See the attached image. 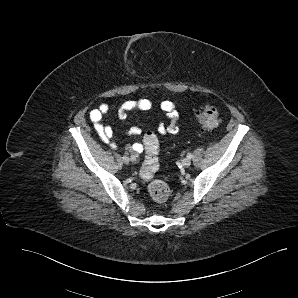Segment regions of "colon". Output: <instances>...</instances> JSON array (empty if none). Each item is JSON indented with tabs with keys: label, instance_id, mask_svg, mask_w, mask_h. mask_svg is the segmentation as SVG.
<instances>
[{
	"label": "colon",
	"instance_id": "colon-1",
	"mask_svg": "<svg viewBox=\"0 0 298 298\" xmlns=\"http://www.w3.org/2000/svg\"><path fill=\"white\" fill-rule=\"evenodd\" d=\"M200 124L206 129H214L220 122L219 110L212 104L203 105L195 110ZM145 158L140 166V177L148 182V193L156 203H164L169 198V187L162 180L153 177L159 169V140L153 132H147L143 138Z\"/></svg>",
	"mask_w": 298,
	"mask_h": 298
}]
</instances>
